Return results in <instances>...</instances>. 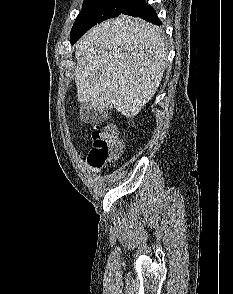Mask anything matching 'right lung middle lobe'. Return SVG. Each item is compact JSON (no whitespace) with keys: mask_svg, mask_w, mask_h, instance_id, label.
<instances>
[{"mask_svg":"<svg viewBox=\"0 0 233 294\" xmlns=\"http://www.w3.org/2000/svg\"><path fill=\"white\" fill-rule=\"evenodd\" d=\"M129 2L130 0H84L83 8L72 27L71 39L80 37L97 23L117 17Z\"/></svg>","mask_w":233,"mask_h":294,"instance_id":"right-lung-middle-lobe-1","label":"right lung middle lobe"}]
</instances>
